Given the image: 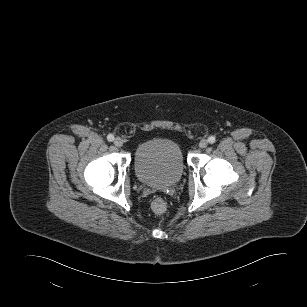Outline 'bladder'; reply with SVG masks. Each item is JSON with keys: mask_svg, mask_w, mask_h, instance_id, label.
I'll return each instance as SVG.
<instances>
[{"mask_svg": "<svg viewBox=\"0 0 307 307\" xmlns=\"http://www.w3.org/2000/svg\"><path fill=\"white\" fill-rule=\"evenodd\" d=\"M185 170L181 146L174 140L156 138L140 144L134 153V171L148 186L169 187L176 184Z\"/></svg>", "mask_w": 307, "mask_h": 307, "instance_id": "bladder-1", "label": "bladder"}]
</instances>
